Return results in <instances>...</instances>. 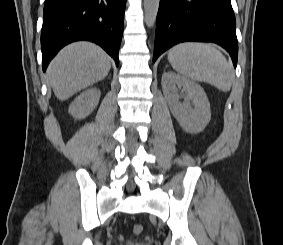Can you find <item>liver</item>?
<instances>
[{
  "mask_svg": "<svg viewBox=\"0 0 283 245\" xmlns=\"http://www.w3.org/2000/svg\"><path fill=\"white\" fill-rule=\"evenodd\" d=\"M111 59L99 46L76 42L63 48L51 61L47 78L55 96L67 100L109 73Z\"/></svg>",
  "mask_w": 283,
  "mask_h": 245,
  "instance_id": "obj_1",
  "label": "liver"
}]
</instances>
